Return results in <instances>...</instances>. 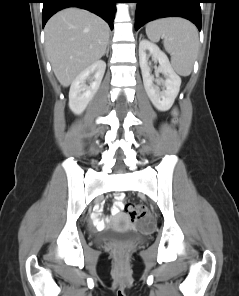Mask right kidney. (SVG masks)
<instances>
[{
    "label": "right kidney",
    "instance_id": "right-kidney-1",
    "mask_svg": "<svg viewBox=\"0 0 239 296\" xmlns=\"http://www.w3.org/2000/svg\"><path fill=\"white\" fill-rule=\"evenodd\" d=\"M106 69V63L98 60L84 69L72 82L69 91V107L77 115L83 113L98 91ZM89 81L90 85H86Z\"/></svg>",
    "mask_w": 239,
    "mask_h": 296
}]
</instances>
